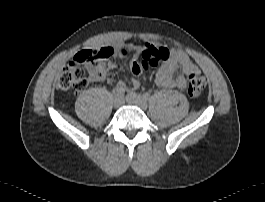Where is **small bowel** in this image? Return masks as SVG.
Instances as JSON below:
<instances>
[{
    "label": "small bowel",
    "mask_w": 265,
    "mask_h": 202,
    "mask_svg": "<svg viewBox=\"0 0 265 202\" xmlns=\"http://www.w3.org/2000/svg\"><path fill=\"white\" fill-rule=\"evenodd\" d=\"M104 48L111 50L113 53L112 56H114L115 59L113 61H107L111 56L99 59V64L90 68L88 71V78L91 82L103 80L109 70L119 66V60L121 58L144 49V47H139L133 43L127 42H121ZM178 68L180 69V73L176 75ZM194 73H200L195 62L185 52L173 50L170 59L163 63L157 71L155 81L160 87L184 89L187 86L188 77ZM116 87L123 88L124 90L126 88L123 81H119ZM138 87L139 83L137 81L133 82L132 89H137Z\"/></svg>",
    "instance_id": "small-bowel-1"
}]
</instances>
